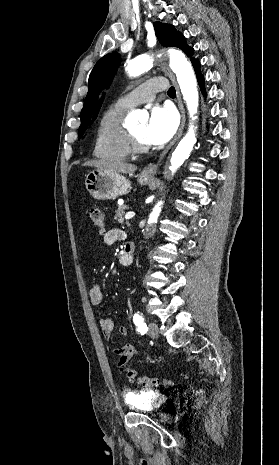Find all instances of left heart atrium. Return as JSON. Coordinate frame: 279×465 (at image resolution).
I'll return each mask as SVG.
<instances>
[{"mask_svg":"<svg viewBox=\"0 0 279 465\" xmlns=\"http://www.w3.org/2000/svg\"><path fill=\"white\" fill-rule=\"evenodd\" d=\"M177 126V115L172 108L154 107L144 132L147 144L161 145L166 143L175 134Z\"/></svg>","mask_w":279,"mask_h":465,"instance_id":"39dd6f15","label":"left heart atrium"}]
</instances>
